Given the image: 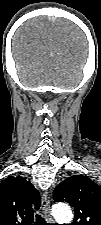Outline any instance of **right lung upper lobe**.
<instances>
[{
	"label": "right lung upper lobe",
	"instance_id": "obj_1",
	"mask_svg": "<svg viewBox=\"0 0 101 225\" xmlns=\"http://www.w3.org/2000/svg\"><path fill=\"white\" fill-rule=\"evenodd\" d=\"M40 194L24 178L10 177L0 183V225H33Z\"/></svg>",
	"mask_w": 101,
	"mask_h": 225
}]
</instances>
